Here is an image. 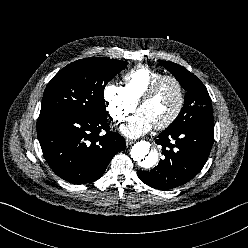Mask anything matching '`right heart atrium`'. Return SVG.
I'll return each mask as SVG.
<instances>
[{
    "label": "right heart atrium",
    "mask_w": 248,
    "mask_h": 248,
    "mask_svg": "<svg viewBox=\"0 0 248 248\" xmlns=\"http://www.w3.org/2000/svg\"><path fill=\"white\" fill-rule=\"evenodd\" d=\"M103 97L110 117L116 122L123 121L136 107V104L127 96L124 88L113 83L106 85Z\"/></svg>",
    "instance_id": "1"
}]
</instances>
